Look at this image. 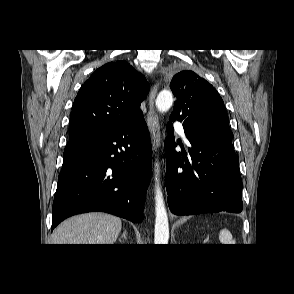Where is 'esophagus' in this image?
I'll return each mask as SVG.
<instances>
[{"instance_id": "obj_1", "label": "esophagus", "mask_w": 294, "mask_h": 294, "mask_svg": "<svg viewBox=\"0 0 294 294\" xmlns=\"http://www.w3.org/2000/svg\"><path fill=\"white\" fill-rule=\"evenodd\" d=\"M159 83L156 82L150 90L148 101L147 124L152 138L153 149H157L160 145V127L158 116L155 111V98L157 94Z\"/></svg>"}]
</instances>
